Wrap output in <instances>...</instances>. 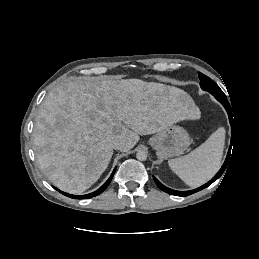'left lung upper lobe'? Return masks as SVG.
Returning a JSON list of instances; mask_svg holds the SVG:
<instances>
[{
	"label": "left lung upper lobe",
	"mask_w": 259,
	"mask_h": 259,
	"mask_svg": "<svg viewBox=\"0 0 259 259\" xmlns=\"http://www.w3.org/2000/svg\"><path fill=\"white\" fill-rule=\"evenodd\" d=\"M200 86L203 90L208 91L212 95L218 94L223 95V91L219 88V86L212 81L209 77L205 76L202 73H199Z\"/></svg>",
	"instance_id": "left-lung-upper-lobe-1"
}]
</instances>
